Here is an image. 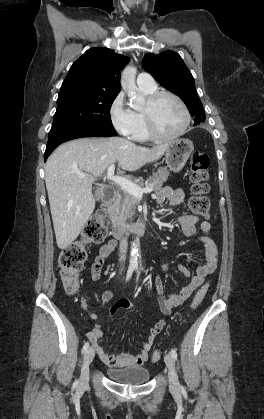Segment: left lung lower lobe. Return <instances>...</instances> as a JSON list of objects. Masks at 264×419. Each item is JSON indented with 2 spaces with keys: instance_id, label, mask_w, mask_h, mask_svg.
Masks as SVG:
<instances>
[{
  "instance_id": "0a47b994",
  "label": "left lung lower lobe",
  "mask_w": 264,
  "mask_h": 419,
  "mask_svg": "<svg viewBox=\"0 0 264 419\" xmlns=\"http://www.w3.org/2000/svg\"><path fill=\"white\" fill-rule=\"evenodd\" d=\"M205 119H206V118H204V117H202V116H199L198 118H196V119L194 120V126L201 124L202 122H204V121H205Z\"/></svg>"
}]
</instances>
